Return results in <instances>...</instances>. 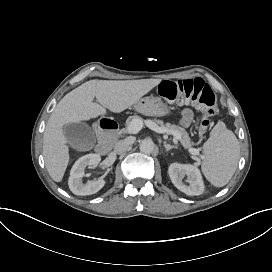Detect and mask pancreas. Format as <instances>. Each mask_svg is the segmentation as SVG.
Segmentation results:
<instances>
[{
    "mask_svg": "<svg viewBox=\"0 0 272 272\" xmlns=\"http://www.w3.org/2000/svg\"><path fill=\"white\" fill-rule=\"evenodd\" d=\"M133 119H139L141 120L144 124L147 122V120H144L142 117L135 115V116H131L128 118L127 120V124H130V122ZM152 121L154 123H156L157 125L166 128L167 132L170 134H173L174 132H178L181 136H182V145L185 147H189L191 145V139L188 135V132L181 126L179 125H175V124H171L169 122H164L163 120H159L156 118H153ZM125 132V130H123Z\"/></svg>",
    "mask_w": 272,
    "mask_h": 272,
    "instance_id": "cf45deb5",
    "label": "pancreas"
}]
</instances>
